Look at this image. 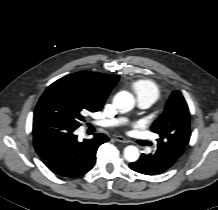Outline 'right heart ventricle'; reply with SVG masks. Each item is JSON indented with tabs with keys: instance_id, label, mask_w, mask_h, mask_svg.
I'll list each match as a JSON object with an SVG mask.
<instances>
[{
	"instance_id": "right-heart-ventricle-1",
	"label": "right heart ventricle",
	"mask_w": 218,
	"mask_h": 210,
	"mask_svg": "<svg viewBox=\"0 0 218 210\" xmlns=\"http://www.w3.org/2000/svg\"><path fill=\"white\" fill-rule=\"evenodd\" d=\"M133 90L135 91L137 97L150 96L153 101L157 100L159 97L158 86L150 80H138L134 82Z\"/></svg>"
}]
</instances>
